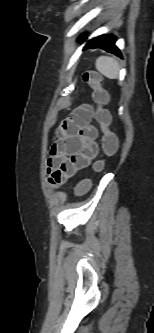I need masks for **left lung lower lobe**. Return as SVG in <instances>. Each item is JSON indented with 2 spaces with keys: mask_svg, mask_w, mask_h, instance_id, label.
Here are the masks:
<instances>
[{
  "mask_svg": "<svg viewBox=\"0 0 154 333\" xmlns=\"http://www.w3.org/2000/svg\"><path fill=\"white\" fill-rule=\"evenodd\" d=\"M81 40H85V36H82ZM87 48H101L117 56H121L119 49L115 46V37L111 34L101 35L99 37L91 39L84 47V49Z\"/></svg>",
  "mask_w": 154,
  "mask_h": 333,
  "instance_id": "left-lung-lower-lobe-1",
  "label": "left lung lower lobe"
}]
</instances>
